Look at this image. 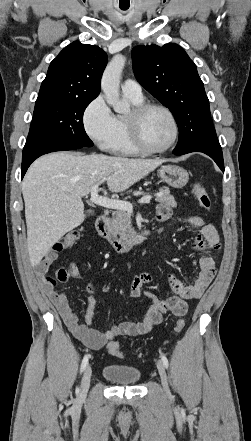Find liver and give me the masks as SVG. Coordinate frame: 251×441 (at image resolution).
Wrapping results in <instances>:
<instances>
[{"label": "liver", "instance_id": "obj_1", "mask_svg": "<svg viewBox=\"0 0 251 441\" xmlns=\"http://www.w3.org/2000/svg\"><path fill=\"white\" fill-rule=\"evenodd\" d=\"M163 159H130L103 154L56 152L32 163L22 182L31 265L86 218L82 197L99 181L122 192L148 175Z\"/></svg>", "mask_w": 251, "mask_h": 441}]
</instances>
